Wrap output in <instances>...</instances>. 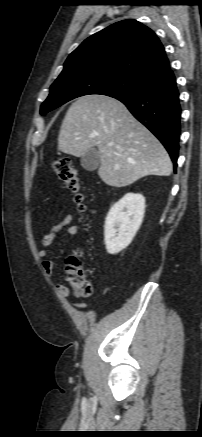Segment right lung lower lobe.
Wrapping results in <instances>:
<instances>
[{
	"mask_svg": "<svg viewBox=\"0 0 202 437\" xmlns=\"http://www.w3.org/2000/svg\"><path fill=\"white\" fill-rule=\"evenodd\" d=\"M121 101L134 117L164 145L177 167L181 107L176 78L169 68L140 90L112 96Z\"/></svg>",
	"mask_w": 202,
	"mask_h": 437,
	"instance_id": "98d812e1",
	"label": "right lung lower lobe"
}]
</instances>
